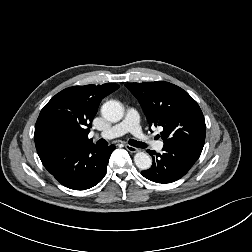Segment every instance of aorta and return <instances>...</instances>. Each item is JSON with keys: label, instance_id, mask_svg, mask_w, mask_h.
Listing matches in <instances>:
<instances>
[{"label": "aorta", "instance_id": "1", "mask_svg": "<svg viewBox=\"0 0 252 252\" xmlns=\"http://www.w3.org/2000/svg\"><path fill=\"white\" fill-rule=\"evenodd\" d=\"M102 116L109 122H118L123 117V108L115 100L105 102L101 107ZM136 166L141 170H147L152 165L151 157L145 152H138L134 156Z\"/></svg>", "mask_w": 252, "mask_h": 252}]
</instances>
